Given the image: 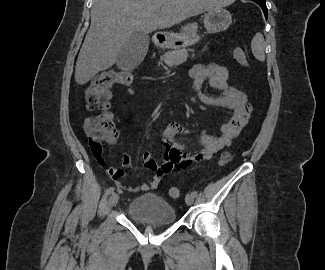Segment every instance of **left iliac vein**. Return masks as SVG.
<instances>
[{
  "label": "left iliac vein",
  "instance_id": "1",
  "mask_svg": "<svg viewBox=\"0 0 325 270\" xmlns=\"http://www.w3.org/2000/svg\"><path fill=\"white\" fill-rule=\"evenodd\" d=\"M186 204L187 205H192L194 203V196L191 194H187L185 198Z\"/></svg>",
  "mask_w": 325,
  "mask_h": 270
}]
</instances>
